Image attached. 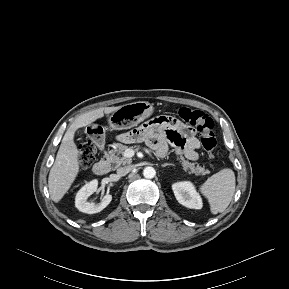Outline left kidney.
<instances>
[{"instance_id": "5707ae66", "label": "left kidney", "mask_w": 289, "mask_h": 289, "mask_svg": "<svg viewBox=\"0 0 289 289\" xmlns=\"http://www.w3.org/2000/svg\"><path fill=\"white\" fill-rule=\"evenodd\" d=\"M172 190L177 201L190 209H201L202 199L191 182H177L172 185Z\"/></svg>"}]
</instances>
